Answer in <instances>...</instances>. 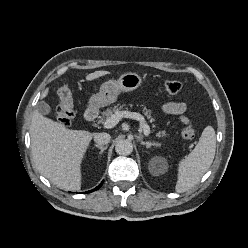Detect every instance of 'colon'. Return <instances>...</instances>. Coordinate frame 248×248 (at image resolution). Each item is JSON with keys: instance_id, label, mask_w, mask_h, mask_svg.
Masks as SVG:
<instances>
[{"instance_id": "colon-1", "label": "colon", "mask_w": 248, "mask_h": 248, "mask_svg": "<svg viewBox=\"0 0 248 248\" xmlns=\"http://www.w3.org/2000/svg\"><path fill=\"white\" fill-rule=\"evenodd\" d=\"M182 88L181 82L177 80H168L164 84V89L168 94L175 95ZM59 105L56 110V118L64 126L71 124L74 118V103L72 92L68 86H62L58 90ZM196 136V131L191 124H187L182 130V137L186 140H192Z\"/></svg>"}]
</instances>
